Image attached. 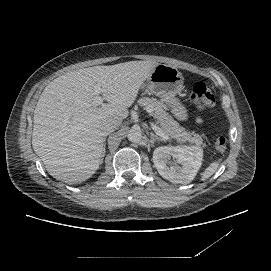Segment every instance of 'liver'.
<instances>
[{
    "instance_id": "1",
    "label": "liver",
    "mask_w": 271,
    "mask_h": 271,
    "mask_svg": "<svg viewBox=\"0 0 271 271\" xmlns=\"http://www.w3.org/2000/svg\"><path fill=\"white\" fill-rule=\"evenodd\" d=\"M157 65L129 61L83 68L46 86L34 112L32 147L53 178L83 183L99 170L105 152L102 125L128 117L141 86ZM97 83L107 103L93 104Z\"/></svg>"
}]
</instances>
